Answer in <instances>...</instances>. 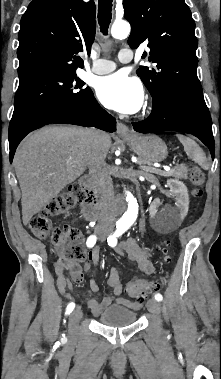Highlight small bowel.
I'll use <instances>...</instances> for the list:
<instances>
[{"mask_svg": "<svg viewBox=\"0 0 221 379\" xmlns=\"http://www.w3.org/2000/svg\"><path fill=\"white\" fill-rule=\"evenodd\" d=\"M60 252V251H59ZM118 253L125 255L129 261L135 263L139 270L144 274H152L154 272V265L148 258L147 254L141 249L133 237H129L119 247ZM99 261V249L93 248L88 253V261L85 263V272H88L92 266L97 265ZM68 268L71 274V280H69L63 272V268L60 263H56L55 269L57 274V282L60 291L70 298V294L67 290L71 287V281L75 283H81L84 279L82 267L79 262H70ZM107 285L111 290V295L104 297L101 301L91 298V292H98L99 286L94 278L90 279V292L86 294V305L91 310L92 314L98 316L105 308L111 305L113 302L128 306L130 308H138L139 304L133 303L127 299L120 297L124 290L123 282L120 278L119 271L116 267H112L109 270Z\"/></svg>", "mask_w": 221, "mask_h": 379, "instance_id": "c3829d8e", "label": "small bowel"}]
</instances>
